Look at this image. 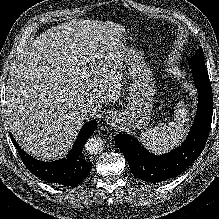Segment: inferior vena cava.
<instances>
[{
	"mask_svg": "<svg viewBox=\"0 0 219 219\" xmlns=\"http://www.w3.org/2000/svg\"><path fill=\"white\" fill-rule=\"evenodd\" d=\"M79 113L81 117L84 119L93 118L97 115V111L95 109L88 108V107H81L79 109Z\"/></svg>",
	"mask_w": 219,
	"mask_h": 219,
	"instance_id": "1",
	"label": "inferior vena cava"
}]
</instances>
